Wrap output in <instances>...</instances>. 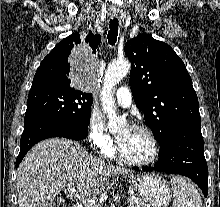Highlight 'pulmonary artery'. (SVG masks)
<instances>
[{
  "instance_id": "1",
  "label": "pulmonary artery",
  "mask_w": 220,
  "mask_h": 207,
  "mask_svg": "<svg viewBox=\"0 0 220 207\" xmlns=\"http://www.w3.org/2000/svg\"><path fill=\"white\" fill-rule=\"evenodd\" d=\"M115 97L117 102L123 107H129L132 103V95L127 86L120 87L116 91Z\"/></svg>"
}]
</instances>
